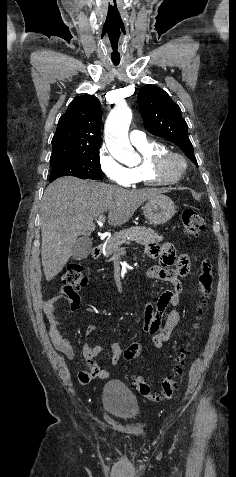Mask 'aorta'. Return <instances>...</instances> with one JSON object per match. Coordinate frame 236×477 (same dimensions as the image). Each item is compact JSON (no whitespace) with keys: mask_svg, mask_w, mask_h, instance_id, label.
<instances>
[{"mask_svg":"<svg viewBox=\"0 0 236 477\" xmlns=\"http://www.w3.org/2000/svg\"><path fill=\"white\" fill-rule=\"evenodd\" d=\"M131 120V109L121 104L113 109L105 123V142L111 153L124 162L136 157L128 137Z\"/></svg>","mask_w":236,"mask_h":477,"instance_id":"1","label":"aorta"}]
</instances>
